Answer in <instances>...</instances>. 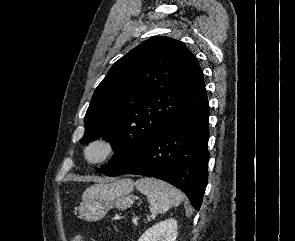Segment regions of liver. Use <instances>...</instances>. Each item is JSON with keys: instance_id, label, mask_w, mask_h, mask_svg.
Segmentation results:
<instances>
[{"instance_id": "6515ba94", "label": "liver", "mask_w": 295, "mask_h": 241, "mask_svg": "<svg viewBox=\"0 0 295 241\" xmlns=\"http://www.w3.org/2000/svg\"><path fill=\"white\" fill-rule=\"evenodd\" d=\"M128 182L131 183L132 181L131 180H128Z\"/></svg>"}]
</instances>
